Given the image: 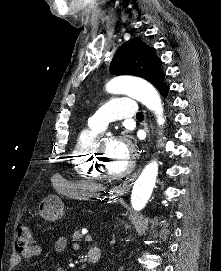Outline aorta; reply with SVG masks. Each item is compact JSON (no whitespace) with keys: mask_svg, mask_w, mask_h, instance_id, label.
Masks as SVG:
<instances>
[{"mask_svg":"<svg viewBox=\"0 0 221 271\" xmlns=\"http://www.w3.org/2000/svg\"><path fill=\"white\" fill-rule=\"evenodd\" d=\"M106 91L112 94H126L138 100L154 112L158 125H164L165 118L160 96L148 82L130 77H116L107 83ZM157 175L158 163L152 160L134 183L131 194V205L134 210L140 211L147 204L155 187Z\"/></svg>","mask_w":221,"mask_h":271,"instance_id":"obj_1","label":"aorta"}]
</instances>
